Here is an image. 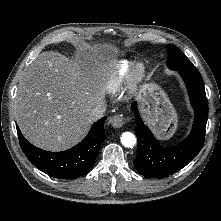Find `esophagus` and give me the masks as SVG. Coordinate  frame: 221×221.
<instances>
[{
    "label": "esophagus",
    "instance_id": "esophagus-1",
    "mask_svg": "<svg viewBox=\"0 0 221 221\" xmlns=\"http://www.w3.org/2000/svg\"><path fill=\"white\" fill-rule=\"evenodd\" d=\"M109 122L113 127L120 128L124 125V117L122 114H116L110 118Z\"/></svg>",
    "mask_w": 221,
    "mask_h": 221
}]
</instances>
